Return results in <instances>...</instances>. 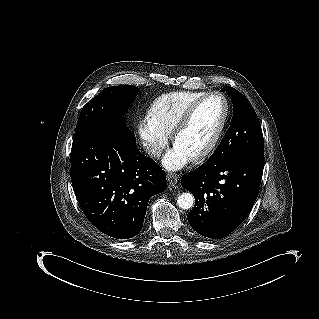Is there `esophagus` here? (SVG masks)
<instances>
[{"label":"esophagus","mask_w":319,"mask_h":319,"mask_svg":"<svg viewBox=\"0 0 319 319\" xmlns=\"http://www.w3.org/2000/svg\"><path fill=\"white\" fill-rule=\"evenodd\" d=\"M178 181H179V177L177 174L169 173L167 175V182L169 185L174 186L178 183Z\"/></svg>","instance_id":"obj_1"}]
</instances>
